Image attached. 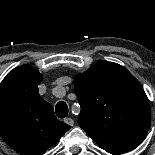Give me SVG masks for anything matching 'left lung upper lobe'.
<instances>
[{"instance_id": "5c2ea615", "label": "left lung upper lobe", "mask_w": 155, "mask_h": 155, "mask_svg": "<svg viewBox=\"0 0 155 155\" xmlns=\"http://www.w3.org/2000/svg\"><path fill=\"white\" fill-rule=\"evenodd\" d=\"M81 106L78 124L99 146L141 142L150 127V106L139 81L123 66L100 61L75 78Z\"/></svg>"}]
</instances>
